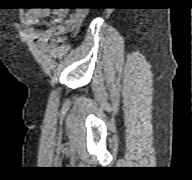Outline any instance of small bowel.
Returning <instances> with one entry per match:
<instances>
[{"instance_id":"1","label":"small bowel","mask_w":192,"mask_h":180,"mask_svg":"<svg viewBox=\"0 0 192 180\" xmlns=\"http://www.w3.org/2000/svg\"><path fill=\"white\" fill-rule=\"evenodd\" d=\"M50 14L51 11L47 8L31 9L26 13V23L29 26L37 25L43 18L48 17ZM54 22L62 25L42 31H29L30 37L35 39L43 49L48 50L52 48L60 35L77 31L83 23V14L76 12L68 16L67 11L58 10L55 12Z\"/></svg>"}]
</instances>
